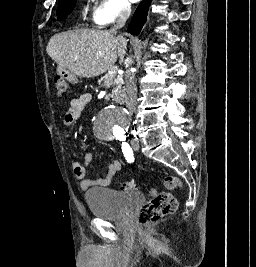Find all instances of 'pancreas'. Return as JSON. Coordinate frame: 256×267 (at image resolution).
<instances>
[{
  "label": "pancreas",
  "mask_w": 256,
  "mask_h": 267,
  "mask_svg": "<svg viewBox=\"0 0 256 267\" xmlns=\"http://www.w3.org/2000/svg\"><path fill=\"white\" fill-rule=\"evenodd\" d=\"M115 76L116 74H106L105 78H102L99 84H102V82H104L103 84L104 88H110V86H112L113 92L112 94H110L112 100H114L116 104H123L125 90L124 88H122L123 86L122 76H119V78H117V80H115L114 82Z\"/></svg>",
  "instance_id": "cf45deb5"
}]
</instances>
